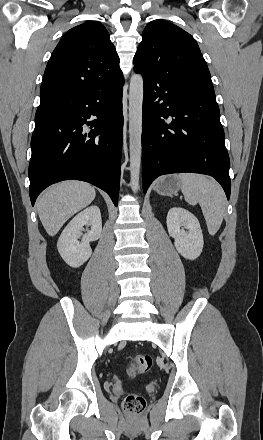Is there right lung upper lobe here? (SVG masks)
<instances>
[{
    "instance_id": "right-lung-upper-lobe-1",
    "label": "right lung upper lobe",
    "mask_w": 263,
    "mask_h": 440,
    "mask_svg": "<svg viewBox=\"0 0 263 440\" xmlns=\"http://www.w3.org/2000/svg\"><path fill=\"white\" fill-rule=\"evenodd\" d=\"M123 78L119 57L103 24L90 21L70 29L45 69L40 105Z\"/></svg>"
}]
</instances>
